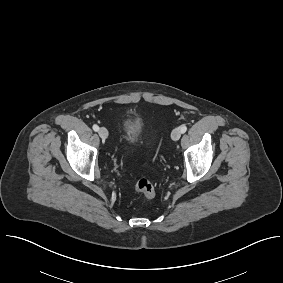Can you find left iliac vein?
I'll return each instance as SVG.
<instances>
[{
  "mask_svg": "<svg viewBox=\"0 0 283 283\" xmlns=\"http://www.w3.org/2000/svg\"><path fill=\"white\" fill-rule=\"evenodd\" d=\"M180 137H181V130L179 128L173 129V131L171 132L172 140L177 141L180 139Z\"/></svg>",
  "mask_w": 283,
  "mask_h": 283,
  "instance_id": "left-iliac-vein-1",
  "label": "left iliac vein"
}]
</instances>
